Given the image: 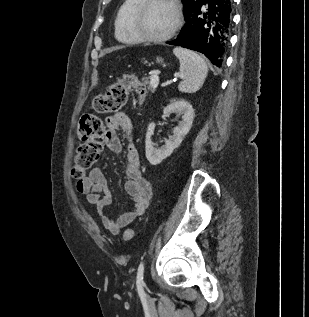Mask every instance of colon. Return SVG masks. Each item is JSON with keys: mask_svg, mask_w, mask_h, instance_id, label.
<instances>
[{"mask_svg": "<svg viewBox=\"0 0 309 317\" xmlns=\"http://www.w3.org/2000/svg\"><path fill=\"white\" fill-rule=\"evenodd\" d=\"M131 89L137 92L140 103H142L146 96L145 85L134 74H126L114 83L106 93L97 95L93 99L91 107L98 113L116 112L127 102ZM79 129L82 143L76 149L75 165L71 174L75 179L81 180L86 171L99 159L105 138V128L98 116L85 114L80 119ZM133 236L132 229L125 230V240H131Z\"/></svg>", "mask_w": 309, "mask_h": 317, "instance_id": "1", "label": "colon"}]
</instances>
